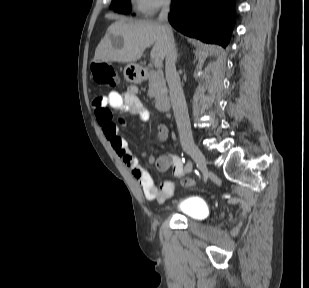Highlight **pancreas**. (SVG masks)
<instances>
[{
  "label": "pancreas",
  "mask_w": 309,
  "mask_h": 288,
  "mask_svg": "<svg viewBox=\"0 0 309 288\" xmlns=\"http://www.w3.org/2000/svg\"><path fill=\"white\" fill-rule=\"evenodd\" d=\"M167 95V87L161 70H150L148 96L156 103Z\"/></svg>",
  "instance_id": "cf45deb5"
}]
</instances>
